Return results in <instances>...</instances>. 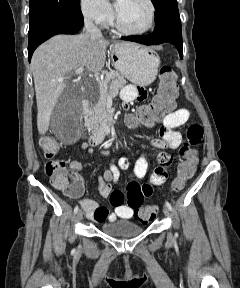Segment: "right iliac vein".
I'll use <instances>...</instances> for the list:
<instances>
[{
    "instance_id": "63e3f726",
    "label": "right iliac vein",
    "mask_w": 240,
    "mask_h": 288,
    "mask_svg": "<svg viewBox=\"0 0 240 288\" xmlns=\"http://www.w3.org/2000/svg\"><path fill=\"white\" fill-rule=\"evenodd\" d=\"M82 219H83V212H82V210H79L77 213V220L81 221Z\"/></svg>"
}]
</instances>
